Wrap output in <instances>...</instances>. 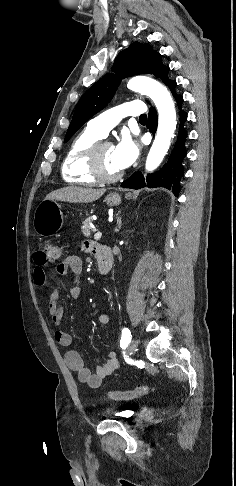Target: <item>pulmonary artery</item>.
<instances>
[{
	"instance_id": "obj_1",
	"label": "pulmonary artery",
	"mask_w": 236,
	"mask_h": 486,
	"mask_svg": "<svg viewBox=\"0 0 236 486\" xmlns=\"http://www.w3.org/2000/svg\"><path fill=\"white\" fill-rule=\"evenodd\" d=\"M146 111L147 108L145 104L140 100L126 102L91 119L88 122L87 127L101 137H105L122 118L127 116H141L144 115Z\"/></svg>"
}]
</instances>
